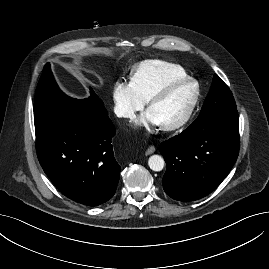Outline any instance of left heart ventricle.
Returning a JSON list of instances; mask_svg holds the SVG:
<instances>
[{
	"label": "left heart ventricle",
	"instance_id": "obj_1",
	"mask_svg": "<svg viewBox=\"0 0 269 269\" xmlns=\"http://www.w3.org/2000/svg\"><path fill=\"white\" fill-rule=\"evenodd\" d=\"M193 93V86L177 88L167 97L152 105L149 111L156 117L160 125L174 123L185 113Z\"/></svg>",
	"mask_w": 269,
	"mask_h": 269
}]
</instances>
